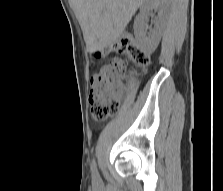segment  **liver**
<instances>
[{
	"instance_id": "6515ba94",
	"label": "liver",
	"mask_w": 223,
	"mask_h": 191,
	"mask_svg": "<svg viewBox=\"0 0 223 191\" xmlns=\"http://www.w3.org/2000/svg\"><path fill=\"white\" fill-rule=\"evenodd\" d=\"M145 0H71L89 51L115 43Z\"/></svg>"
}]
</instances>
